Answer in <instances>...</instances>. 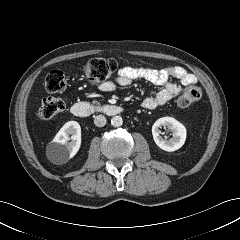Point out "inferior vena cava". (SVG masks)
<instances>
[{
  "mask_svg": "<svg viewBox=\"0 0 240 240\" xmlns=\"http://www.w3.org/2000/svg\"><path fill=\"white\" fill-rule=\"evenodd\" d=\"M94 124L98 127H103L106 124V118L104 115H97L94 117Z\"/></svg>",
  "mask_w": 240,
  "mask_h": 240,
  "instance_id": "602c4592",
  "label": "inferior vena cava"
}]
</instances>
